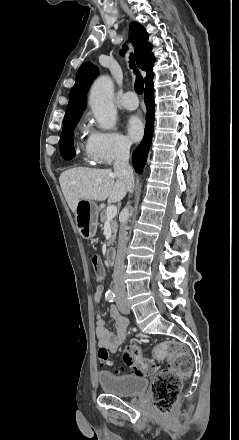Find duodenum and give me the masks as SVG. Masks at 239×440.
<instances>
[{
	"label": "duodenum",
	"instance_id": "duodenum-1",
	"mask_svg": "<svg viewBox=\"0 0 239 440\" xmlns=\"http://www.w3.org/2000/svg\"><path fill=\"white\" fill-rule=\"evenodd\" d=\"M106 259L109 264H113L115 261V250L110 248L106 252Z\"/></svg>",
	"mask_w": 239,
	"mask_h": 440
}]
</instances>
